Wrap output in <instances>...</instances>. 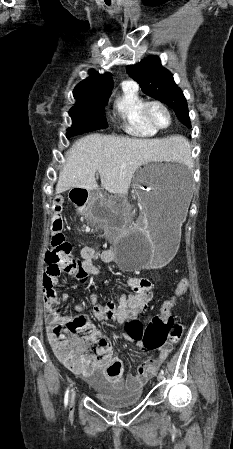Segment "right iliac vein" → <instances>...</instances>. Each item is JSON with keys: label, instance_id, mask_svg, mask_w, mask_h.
Masks as SVG:
<instances>
[{"label": "right iliac vein", "instance_id": "obj_1", "mask_svg": "<svg viewBox=\"0 0 233 449\" xmlns=\"http://www.w3.org/2000/svg\"><path fill=\"white\" fill-rule=\"evenodd\" d=\"M75 401V391L73 390L70 394V405L72 406Z\"/></svg>", "mask_w": 233, "mask_h": 449}]
</instances>
